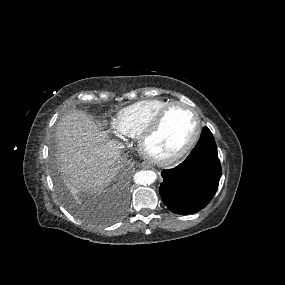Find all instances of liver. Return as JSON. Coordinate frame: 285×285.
<instances>
[{
	"label": "liver",
	"mask_w": 285,
	"mask_h": 285,
	"mask_svg": "<svg viewBox=\"0 0 285 285\" xmlns=\"http://www.w3.org/2000/svg\"><path fill=\"white\" fill-rule=\"evenodd\" d=\"M61 172L73 188L101 189L118 173L109 155L108 138L89 116L72 111L56 127Z\"/></svg>",
	"instance_id": "6515ba94"
}]
</instances>
